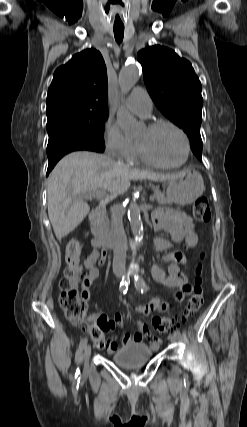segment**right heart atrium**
<instances>
[{
  "instance_id": "obj_1",
  "label": "right heart atrium",
  "mask_w": 247,
  "mask_h": 427,
  "mask_svg": "<svg viewBox=\"0 0 247 427\" xmlns=\"http://www.w3.org/2000/svg\"><path fill=\"white\" fill-rule=\"evenodd\" d=\"M103 142L107 152L114 158L130 160L134 143L128 139L119 126L112 120H107L103 128Z\"/></svg>"
}]
</instances>
